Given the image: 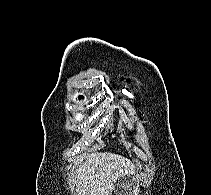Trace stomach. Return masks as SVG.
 Here are the masks:
<instances>
[{
	"instance_id": "0dacf381",
	"label": "stomach",
	"mask_w": 211,
	"mask_h": 195,
	"mask_svg": "<svg viewBox=\"0 0 211 195\" xmlns=\"http://www.w3.org/2000/svg\"><path fill=\"white\" fill-rule=\"evenodd\" d=\"M120 179L122 180L120 186L130 185V181L126 180V177H120L118 179V181H120ZM118 181H117V183H118ZM117 183H116L115 187H117Z\"/></svg>"
}]
</instances>
